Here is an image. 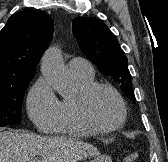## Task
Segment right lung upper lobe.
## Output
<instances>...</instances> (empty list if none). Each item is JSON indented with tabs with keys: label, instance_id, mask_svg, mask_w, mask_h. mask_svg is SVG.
Returning a JSON list of instances; mask_svg holds the SVG:
<instances>
[{
	"label": "right lung upper lobe",
	"instance_id": "1",
	"mask_svg": "<svg viewBox=\"0 0 168 162\" xmlns=\"http://www.w3.org/2000/svg\"><path fill=\"white\" fill-rule=\"evenodd\" d=\"M52 33L53 20L45 12L13 14L0 31V83L33 77Z\"/></svg>",
	"mask_w": 168,
	"mask_h": 162
}]
</instances>
